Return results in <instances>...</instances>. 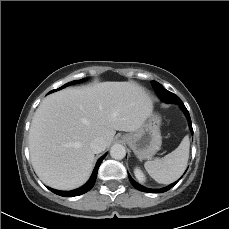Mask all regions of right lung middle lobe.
I'll list each match as a JSON object with an SVG mask.
<instances>
[{
  "mask_svg": "<svg viewBox=\"0 0 229 229\" xmlns=\"http://www.w3.org/2000/svg\"><path fill=\"white\" fill-rule=\"evenodd\" d=\"M84 80H85V79H82V80H76V81H73V82H69V83L65 84L64 86H62V87H60V88H58V89H56V90H52L51 92H54V91L60 90V89H62V88H64V87H66V86H69V85H72V84H75V83H79V82H82V81H84Z\"/></svg>",
  "mask_w": 229,
  "mask_h": 229,
  "instance_id": "right-lung-middle-lobe-1",
  "label": "right lung middle lobe"
}]
</instances>
